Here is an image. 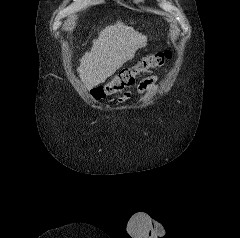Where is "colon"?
Masks as SVG:
<instances>
[{
  "instance_id": "1",
  "label": "colon",
  "mask_w": 240,
  "mask_h": 238,
  "mask_svg": "<svg viewBox=\"0 0 240 238\" xmlns=\"http://www.w3.org/2000/svg\"><path fill=\"white\" fill-rule=\"evenodd\" d=\"M171 57L172 53L170 50L151 54L140 60L134 66L122 69L110 82L93 88L91 90V95L95 99H100L118 93L132 86L139 74L161 67Z\"/></svg>"
}]
</instances>
